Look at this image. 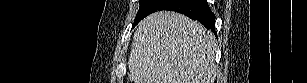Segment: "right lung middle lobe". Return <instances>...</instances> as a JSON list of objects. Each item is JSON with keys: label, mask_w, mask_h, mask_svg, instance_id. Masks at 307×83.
Masks as SVG:
<instances>
[{"label": "right lung middle lobe", "mask_w": 307, "mask_h": 83, "mask_svg": "<svg viewBox=\"0 0 307 83\" xmlns=\"http://www.w3.org/2000/svg\"><path fill=\"white\" fill-rule=\"evenodd\" d=\"M155 0H140V8L139 11L136 15L135 21H134V26L145 16L148 15L150 8L152 4L154 3Z\"/></svg>", "instance_id": "dd1d6c3e"}]
</instances>
